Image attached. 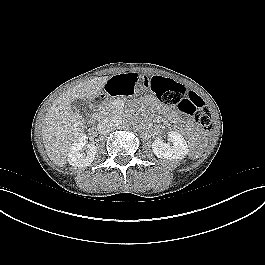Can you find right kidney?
Here are the masks:
<instances>
[{"instance_id":"right-kidney-1","label":"right kidney","mask_w":265,"mask_h":265,"mask_svg":"<svg viewBox=\"0 0 265 265\" xmlns=\"http://www.w3.org/2000/svg\"><path fill=\"white\" fill-rule=\"evenodd\" d=\"M87 136L80 135L71 145L68 152V162L74 167H87L95 158L97 147L94 144H87ZM86 147V154L82 153V149Z\"/></svg>"}]
</instances>
